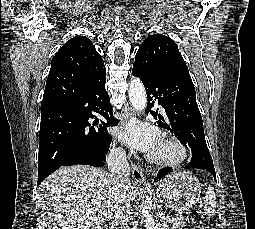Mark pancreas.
<instances>
[{
	"mask_svg": "<svg viewBox=\"0 0 255 229\" xmlns=\"http://www.w3.org/2000/svg\"><path fill=\"white\" fill-rule=\"evenodd\" d=\"M189 217H183L181 214H176L175 216H167L163 221V229H183L185 226V221L188 220Z\"/></svg>",
	"mask_w": 255,
	"mask_h": 229,
	"instance_id": "obj_1",
	"label": "pancreas"
}]
</instances>
